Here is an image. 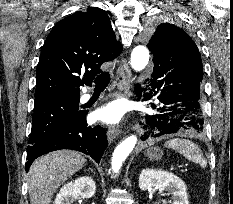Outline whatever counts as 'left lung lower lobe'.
<instances>
[{
	"mask_svg": "<svg viewBox=\"0 0 233 204\" xmlns=\"http://www.w3.org/2000/svg\"><path fill=\"white\" fill-rule=\"evenodd\" d=\"M146 81L151 87L148 98L157 96L159 100L157 106L151 105L157 112L147 118L151 137L185 130L203 131L202 81L187 56L178 50L159 51Z\"/></svg>",
	"mask_w": 233,
	"mask_h": 204,
	"instance_id": "0a47b994",
	"label": "left lung lower lobe"
}]
</instances>
